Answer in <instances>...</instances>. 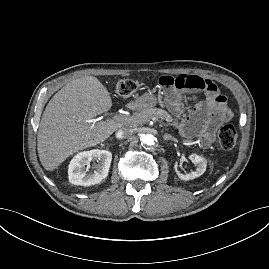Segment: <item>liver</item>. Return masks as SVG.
<instances>
[{
  "instance_id": "6515ba94",
  "label": "liver",
  "mask_w": 269,
  "mask_h": 269,
  "mask_svg": "<svg viewBox=\"0 0 269 269\" xmlns=\"http://www.w3.org/2000/svg\"><path fill=\"white\" fill-rule=\"evenodd\" d=\"M108 90L94 76L68 82L49 101L37 134V151L47 171L74 153L106 140L121 123L90 122L111 109Z\"/></svg>"
}]
</instances>
